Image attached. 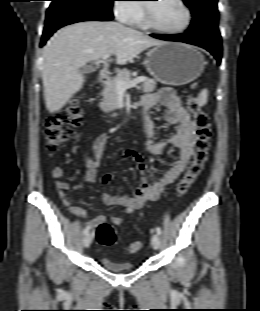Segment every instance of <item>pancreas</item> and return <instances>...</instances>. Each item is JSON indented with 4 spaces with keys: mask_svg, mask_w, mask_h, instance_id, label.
<instances>
[{
    "mask_svg": "<svg viewBox=\"0 0 260 311\" xmlns=\"http://www.w3.org/2000/svg\"><path fill=\"white\" fill-rule=\"evenodd\" d=\"M131 72L127 69L120 71L116 77L109 78L104 82V89L101 92V102L99 107L105 113H109L119 108L117 81H130ZM156 88V82L153 79H146L142 84L145 93L153 92Z\"/></svg>",
    "mask_w": 260,
    "mask_h": 311,
    "instance_id": "1",
    "label": "pancreas"
}]
</instances>
